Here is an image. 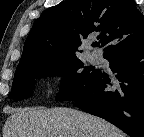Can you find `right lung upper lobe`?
<instances>
[{"label": "right lung upper lobe", "instance_id": "cb5924a9", "mask_svg": "<svg viewBox=\"0 0 144 137\" xmlns=\"http://www.w3.org/2000/svg\"><path fill=\"white\" fill-rule=\"evenodd\" d=\"M98 35L109 54L144 41V15L134 0H67L35 20L19 65L76 56L81 39Z\"/></svg>", "mask_w": 144, "mask_h": 137}]
</instances>
